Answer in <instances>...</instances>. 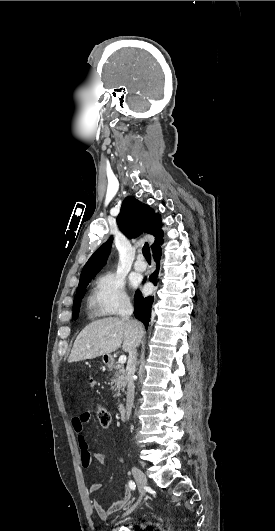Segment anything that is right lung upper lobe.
I'll list each match as a JSON object with an SVG mask.
<instances>
[{
	"mask_svg": "<svg viewBox=\"0 0 275 531\" xmlns=\"http://www.w3.org/2000/svg\"><path fill=\"white\" fill-rule=\"evenodd\" d=\"M117 224L121 232L128 238H135L143 232L155 237V242L151 248L154 249L163 241L162 222L159 214L146 204H142L135 197H126L122 203L120 214L117 217ZM113 237L101 245L82 269L78 288L103 267L109 256ZM77 288V289H78Z\"/></svg>",
	"mask_w": 275,
	"mask_h": 531,
	"instance_id": "cb5924a9",
	"label": "right lung upper lobe"
}]
</instances>
